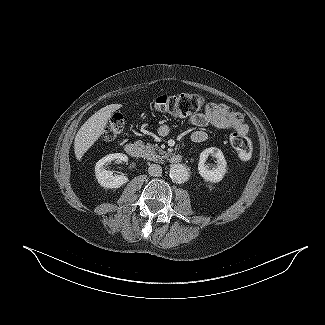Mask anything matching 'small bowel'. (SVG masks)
Returning <instances> with one entry per match:
<instances>
[{
  "label": "small bowel",
  "mask_w": 325,
  "mask_h": 325,
  "mask_svg": "<svg viewBox=\"0 0 325 325\" xmlns=\"http://www.w3.org/2000/svg\"><path fill=\"white\" fill-rule=\"evenodd\" d=\"M189 122L197 128L191 134V140L194 143H202L207 139L208 135L203 129L207 126L233 129L245 137L249 132L243 115L223 103H207L204 112L193 115ZM158 133L160 136H167L169 134V127L165 124L160 125Z\"/></svg>",
  "instance_id": "obj_1"
}]
</instances>
